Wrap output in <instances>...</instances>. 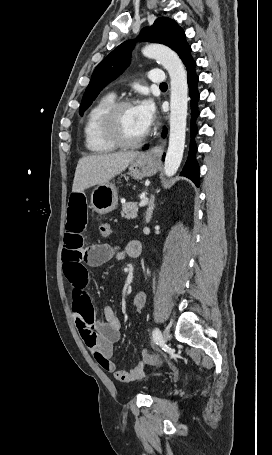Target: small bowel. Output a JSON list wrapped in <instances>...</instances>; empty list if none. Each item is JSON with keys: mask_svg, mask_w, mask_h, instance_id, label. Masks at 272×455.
<instances>
[{"mask_svg": "<svg viewBox=\"0 0 272 455\" xmlns=\"http://www.w3.org/2000/svg\"><path fill=\"white\" fill-rule=\"evenodd\" d=\"M87 223V204L83 193L77 192L70 197L66 230L64 235L63 262L64 274L72 293V316L75 325L98 364L122 382H131L145 377V365L139 363L125 371L112 360L114 344L119 340L122 323L115 310L110 306L103 309V318L96 319L88 291L89 268L99 266L112 258L125 256L136 258L141 253V245L130 240L123 249L104 243L85 245L84 230ZM146 293L137 292L132 300L134 310L141 311L146 303Z\"/></svg>", "mask_w": 272, "mask_h": 455, "instance_id": "1", "label": "small bowel"}]
</instances>
